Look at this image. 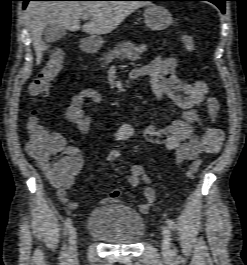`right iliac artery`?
Here are the masks:
<instances>
[{
  "label": "right iliac artery",
  "mask_w": 247,
  "mask_h": 265,
  "mask_svg": "<svg viewBox=\"0 0 247 265\" xmlns=\"http://www.w3.org/2000/svg\"><path fill=\"white\" fill-rule=\"evenodd\" d=\"M72 225V220L71 218H67L64 223V234L67 235V233L70 231ZM68 257V252L66 250V247H63V250L61 252V259L63 261H66Z\"/></svg>",
  "instance_id": "1"
}]
</instances>
